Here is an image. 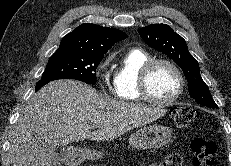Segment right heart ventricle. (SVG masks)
Wrapping results in <instances>:
<instances>
[{"label":"right heart ventricle","instance_id":"e07e8e85","mask_svg":"<svg viewBox=\"0 0 231 166\" xmlns=\"http://www.w3.org/2000/svg\"><path fill=\"white\" fill-rule=\"evenodd\" d=\"M152 57L140 48L128 50L119 60L113 79V90L116 99L121 101H138V76L141 67Z\"/></svg>","mask_w":231,"mask_h":166}]
</instances>
